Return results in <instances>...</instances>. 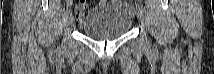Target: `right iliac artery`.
<instances>
[{"mask_svg": "<svg viewBox=\"0 0 214 74\" xmlns=\"http://www.w3.org/2000/svg\"><path fill=\"white\" fill-rule=\"evenodd\" d=\"M69 4H71V3H69ZM69 12H70V9L67 8L66 13H69Z\"/></svg>", "mask_w": 214, "mask_h": 74, "instance_id": "1", "label": "right iliac artery"}]
</instances>
